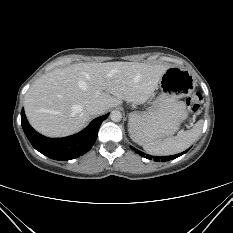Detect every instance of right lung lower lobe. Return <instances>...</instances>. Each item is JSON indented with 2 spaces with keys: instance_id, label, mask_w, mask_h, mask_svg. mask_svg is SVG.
I'll return each instance as SVG.
<instances>
[{
  "instance_id": "right-lung-lower-lobe-1",
  "label": "right lung lower lobe",
  "mask_w": 233,
  "mask_h": 233,
  "mask_svg": "<svg viewBox=\"0 0 233 233\" xmlns=\"http://www.w3.org/2000/svg\"><path fill=\"white\" fill-rule=\"evenodd\" d=\"M109 114L94 119L81 132L64 138H48L36 132L28 123L24 110L21 112L22 128L32 146L45 156L61 161L77 158L91 149L98 129Z\"/></svg>"
}]
</instances>
